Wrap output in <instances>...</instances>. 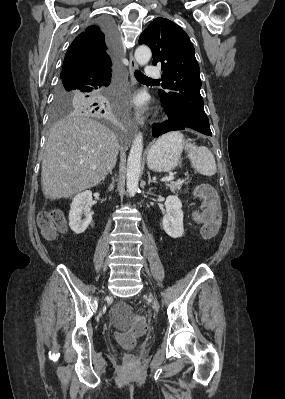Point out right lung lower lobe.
Listing matches in <instances>:
<instances>
[{"label": "right lung lower lobe", "mask_w": 285, "mask_h": 399, "mask_svg": "<svg viewBox=\"0 0 285 399\" xmlns=\"http://www.w3.org/2000/svg\"><path fill=\"white\" fill-rule=\"evenodd\" d=\"M98 25L105 33L107 44L112 50L113 57L117 46V31L115 24L109 19H104L100 21ZM112 72V63L106 68L98 69L83 66L62 76L60 83H71L75 87L84 90L88 96L92 97L97 95L100 91L105 90L110 85ZM89 102L90 106H94V108H102L106 104L97 99H92Z\"/></svg>", "instance_id": "obj_1"}]
</instances>
